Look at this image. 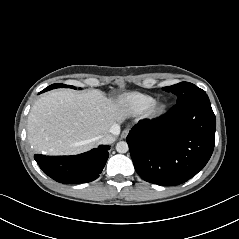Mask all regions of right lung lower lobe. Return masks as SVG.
Here are the masks:
<instances>
[{"mask_svg": "<svg viewBox=\"0 0 239 239\" xmlns=\"http://www.w3.org/2000/svg\"><path fill=\"white\" fill-rule=\"evenodd\" d=\"M109 146L101 145L75 156H45L34 159L50 178L65 184L91 182L99 177L108 159Z\"/></svg>", "mask_w": 239, "mask_h": 239, "instance_id": "1", "label": "right lung lower lobe"}]
</instances>
